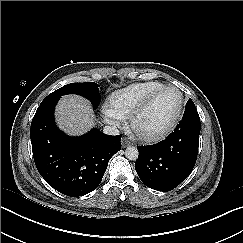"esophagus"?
Segmentation results:
<instances>
[{"label": "esophagus", "instance_id": "34e87169", "mask_svg": "<svg viewBox=\"0 0 243 243\" xmlns=\"http://www.w3.org/2000/svg\"><path fill=\"white\" fill-rule=\"evenodd\" d=\"M130 144H131V143H130L128 140H126L125 138H123V139L121 140V145H122L123 148L129 146Z\"/></svg>", "mask_w": 243, "mask_h": 243}]
</instances>
